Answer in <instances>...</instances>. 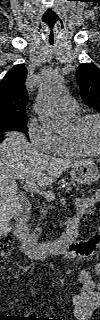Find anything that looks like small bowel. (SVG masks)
<instances>
[{
  "instance_id": "obj_1",
  "label": "small bowel",
  "mask_w": 100,
  "mask_h": 320,
  "mask_svg": "<svg viewBox=\"0 0 100 320\" xmlns=\"http://www.w3.org/2000/svg\"><path fill=\"white\" fill-rule=\"evenodd\" d=\"M99 200V194L91 197H80L75 200L77 214L83 216L89 214L94 204ZM85 242V241H84ZM81 243L74 250L80 253ZM95 270L100 273V263L95 266ZM76 282L79 286L78 293L71 298L73 305L72 313L78 320H87L92 312L100 305V289L97 281L93 278L90 270H83L77 277Z\"/></svg>"
}]
</instances>
